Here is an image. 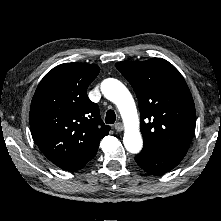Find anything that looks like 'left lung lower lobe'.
Returning <instances> with one entry per match:
<instances>
[{
	"label": "left lung lower lobe",
	"instance_id": "left-lung-lower-lobe-1",
	"mask_svg": "<svg viewBox=\"0 0 221 221\" xmlns=\"http://www.w3.org/2000/svg\"><path fill=\"white\" fill-rule=\"evenodd\" d=\"M183 159L182 156L162 152L151 146H144L135 156L138 165L153 175H163L176 167Z\"/></svg>",
	"mask_w": 221,
	"mask_h": 221
}]
</instances>
